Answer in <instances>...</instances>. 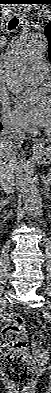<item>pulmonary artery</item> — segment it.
Returning <instances> with one entry per match:
<instances>
[{
  "instance_id": "obj_1",
  "label": "pulmonary artery",
  "mask_w": 51,
  "mask_h": 393,
  "mask_svg": "<svg viewBox=\"0 0 51 393\" xmlns=\"http://www.w3.org/2000/svg\"><path fill=\"white\" fill-rule=\"evenodd\" d=\"M47 71V65L41 62H36L32 65L29 72H27L23 79L26 83L37 84L45 79Z\"/></svg>"
}]
</instances>
